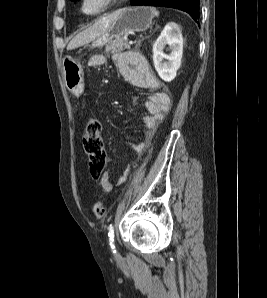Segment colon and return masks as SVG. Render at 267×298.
Instances as JSON below:
<instances>
[{
	"label": "colon",
	"mask_w": 267,
	"mask_h": 298,
	"mask_svg": "<svg viewBox=\"0 0 267 298\" xmlns=\"http://www.w3.org/2000/svg\"><path fill=\"white\" fill-rule=\"evenodd\" d=\"M83 145L88 156L90 174L98 179L106 167L107 153L101 136V125L96 119H89L83 134ZM94 216L102 219L106 213L103 202L98 201L93 207Z\"/></svg>",
	"instance_id": "5ec220e1"
}]
</instances>
